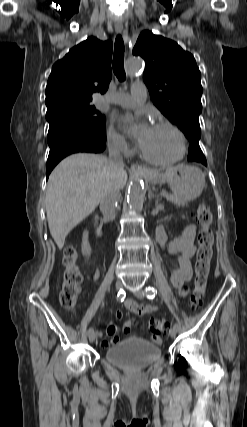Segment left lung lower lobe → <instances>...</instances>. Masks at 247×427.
Here are the masks:
<instances>
[{"mask_svg":"<svg viewBox=\"0 0 247 427\" xmlns=\"http://www.w3.org/2000/svg\"><path fill=\"white\" fill-rule=\"evenodd\" d=\"M188 161L199 162L204 165H207L206 158L203 152L201 151L199 144L194 142L190 143Z\"/></svg>","mask_w":247,"mask_h":427,"instance_id":"obj_1","label":"left lung lower lobe"}]
</instances>
